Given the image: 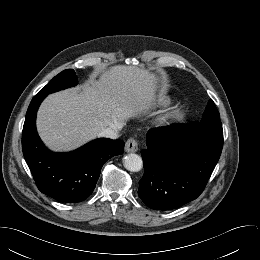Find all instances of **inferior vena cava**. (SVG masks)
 <instances>
[{"label": "inferior vena cava", "instance_id": "obj_1", "mask_svg": "<svg viewBox=\"0 0 260 260\" xmlns=\"http://www.w3.org/2000/svg\"><path fill=\"white\" fill-rule=\"evenodd\" d=\"M122 128V125L119 126H112L107 127L103 131L100 132L99 136L110 138V139H117L119 137L118 131Z\"/></svg>", "mask_w": 260, "mask_h": 260}]
</instances>
